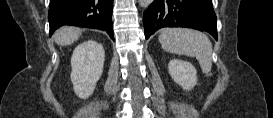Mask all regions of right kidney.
I'll return each instance as SVG.
<instances>
[{
  "label": "right kidney",
  "mask_w": 273,
  "mask_h": 118,
  "mask_svg": "<svg viewBox=\"0 0 273 118\" xmlns=\"http://www.w3.org/2000/svg\"><path fill=\"white\" fill-rule=\"evenodd\" d=\"M105 61V52L101 44L89 40L79 44L71 58V81L75 94L88 98L100 79Z\"/></svg>",
  "instance_id": "right-kidney-1"
}]
</instances>
